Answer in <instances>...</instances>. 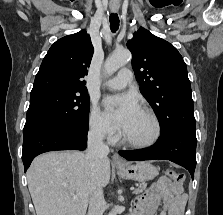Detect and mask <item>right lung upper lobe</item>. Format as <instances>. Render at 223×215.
<instances>
[{
	"label": "right lung upper lobe",
	"mask_w": 223,
	"mask_h": 215,
	"mask_svg": "<svg viewBox=\"0 0 223 215\" xmlns=\"http://www.w3.org/2000/svg\"><path fill=\"white\" fill-rule=\"evenodd\" d=\"M93 51L90 36L84 30L57 40L42 61L31 93L60 91L86 95L82 78L87 75Z\"/></svg>",
	"instance_id": "cb5924a9"
}]
</instances>
